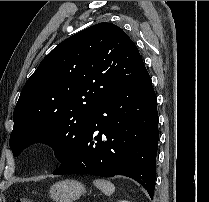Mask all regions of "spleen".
<instances>
[{
  "mask_svg": "<svg viewBox=\"0 0 209 202\" xmlns=\"http://www.w3.org/2000/svg\"><path fill=\"white\" fill-rule=\"evenodd\" d=\"M93 184L96 188L108 196L115 191V186L110 181L104 179H96L93 181Z\"/></svg>",
  "mask_w": 209,
  "mask_h": 202,
  "instance_id": "1",
  "label": "spleen"
}]
</instances>
